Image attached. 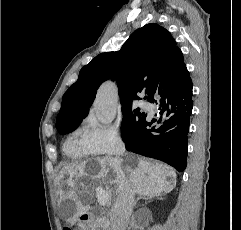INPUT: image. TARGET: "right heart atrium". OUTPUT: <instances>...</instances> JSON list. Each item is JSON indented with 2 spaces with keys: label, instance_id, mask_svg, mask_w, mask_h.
I'll use <instances>...</instances> for the list:
<instances>
[{
  "label": "right heart atrium",
  "instance_id": "1",
  "mask_svg": "<svg viewBox=\"0 0 241 230\" xmlns=\"http://www.w3.org/2000/svg\"><path fill=\"white\" fill-rule=\"evenodd\" d=\"M83 141L88 151L95 155H117L124 149V140L115 126L91 125Z\"/></svg>",
  "mask_w": 241,
  "mask_h": 230
}]
</instances>
